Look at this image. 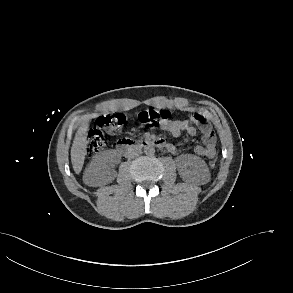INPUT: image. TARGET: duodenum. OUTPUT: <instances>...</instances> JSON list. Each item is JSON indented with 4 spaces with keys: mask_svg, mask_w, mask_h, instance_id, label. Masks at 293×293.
<instances>
[{
    "mask_svg": "<svg viewBox=\"0 0 293 293\" xmlns=\"http://www.w3.org/2000/svg\"><path fill=\"white\" fill-rule=\"evenodd\" d=\"M150 146L163 149L167 147V144L163 140L156 139V138H146L145 140L141 142H136L129 138H123L117 142L116 149L120 154L124 156H128L134 153L136 150H138L141 147H150Z\"/></svg>",
    "mask_w": 293,
    "mask_h": 293,
    "instance_id": "duodenum-1",
    "label": "duodenum"
}]
</instances>
